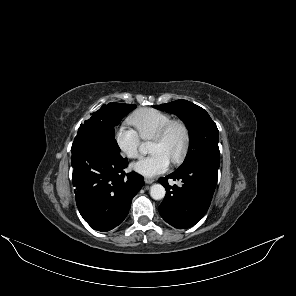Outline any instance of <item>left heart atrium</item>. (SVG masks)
<instances>
[{
	"label": "left heart atrium",
	"instance_id": "1",
	"mask_svg": "<svg viewBox=\"0 0 296 296\" xmlns=\"http://www.w3.org/2000/svg\"><path fill=\"white\" fill-rule=\"evenodd\" d=\"M170 162L164 153L155 152L132 164V169L144 176H155L165 172L169 168Z\"/></svg>",
	"mask_w": 296,
	"mask_h": 296
}]
</instances>
